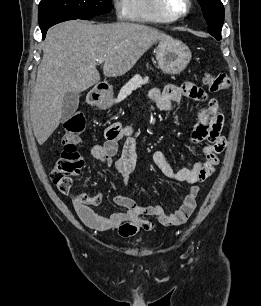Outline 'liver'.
Masks as SVG:
<instances>
[{
  "label": "liver",
  "instance_id": "1",
  "mask_svg": "<svg viewBox=\"0 0 261 306\" xmlns=\"http://www.w3.org/2000/svg\"><path fill=\"white\" fill-rule=\"evenodd\" d=\"M171 37L142 24L67 21L52 27L43 42L30 116L39 145L59 126L67 92L80 93L100 80L97 60L104 58L103 74H126L156 42Z\"/></svg>",
  "mask_w": 261,
  "mask_h": 306
}]
</instances>
